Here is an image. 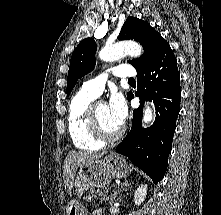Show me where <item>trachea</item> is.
I'll return each mask as SVG.
<instances>
[{
	"label": "trachea",
	"instance_id": "1",
	"mask_svg": "<svg viewBox=\"0 0 221 215\" xmlns=\"http://www.w3.org/2000/svg\"><path fill=\"white\" fill-rule=\"evenodd\" d=\"M129 82H133V81H135L133 78H130L129 80H128Z\"/></svg>",
	"mask_w": 221,
	"mask_h": 215
}]
</instances>
